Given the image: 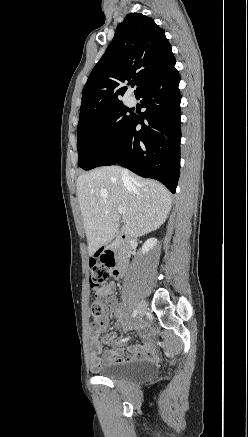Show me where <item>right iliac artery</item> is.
<instances>
[{"label": "right iliac artery", "mask_w": 248, "mask_h": 437, "mask_svg": "<svg viewBox=\"0 0 248 437\" xmlns=\"http://www.w3.org/2000/svg\"><path fill=\"white\" fill-rule=\"evenodd\" d=\"M137 314H138V311H137V310H134V312H133V314H132V317H136ZM126 340H128V338H126V339H122V341H126Z\"/></svg>", "instance_id": "82829eb1"}]
</instances>
